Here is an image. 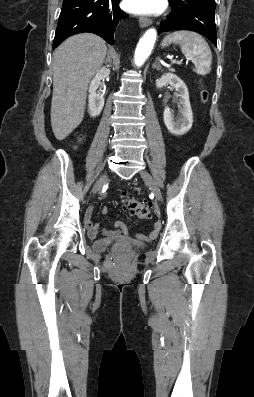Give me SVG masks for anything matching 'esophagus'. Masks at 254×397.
Returning a JSON list of instances; mask_svg holds the SVG:
<instances>
[{"instance_id": "34e87169", "label": "esophagus", "mask_w": 254, "mask_h": 397, "mask_svg": "<svg viewBox=\"0 0 254 397\" xmlns=\"http://www.w3.org/2000/svg\"><path fill=\"white\" fill-rule=\"evenodd\" d=\"M151 23H152L151 19H148V18H145V17H141L139 19V25L142 28L149 26Z\"/></svg>"}]
</instances>
